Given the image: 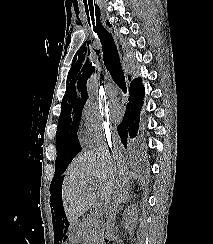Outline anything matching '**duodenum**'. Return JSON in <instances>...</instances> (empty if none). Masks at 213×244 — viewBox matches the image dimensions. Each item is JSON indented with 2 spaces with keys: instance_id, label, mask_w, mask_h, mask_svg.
I'll use <instances>...</instances> for the list:
<instances>
[{
  "instance_id": "410a0bca",
  "label": "duodenum",
  "mask_w": 213,
  "mask_h": 244,
  "mask_svg": "<svg viewBox=\"0 0 213 244\" xmlns=\"http://www.w3.org/2000/svg\"><path fill=\"white\" fill-rule=\"evenodd\" d=\"M104 222L106 224H109V214L108 211H105L104 216H103Z\"/></svg>"
}]
</instances>
